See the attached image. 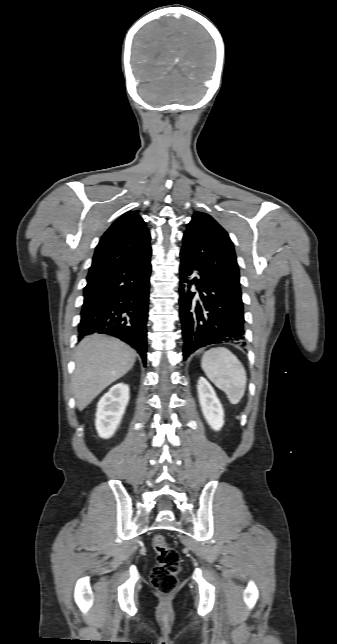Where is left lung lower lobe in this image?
Returning <instances> with one entry per match:
<instances>
[{
	"label": "left lung lower lobe",
	"mask_w": 337,
	"mask_h": 644,
	"mask_svg": "<svg viewBox=\"0 0 337 644\" xmlns=\"http://www.w3.org/2000/svg\"><path fill=\"white\" fill-rule=\"evenodd\" d=\"M179 305L186 359L197 349L216 343L244 346L242 299L191 260L181 257ZM194 272L198 276L193 277ZM197 286L199 293L191 290Z\"/></svg>",
	"instance_id": "1"
}]
</instances>
